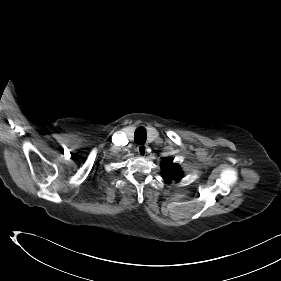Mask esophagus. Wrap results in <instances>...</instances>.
Listing matches in <instances>:
<instances>
[{"label": "esophagus", "mask_w": 281, "mask_h": 281, "mask_svg": "<svg viewBox=\"0 0 281 281\" xmlns=\"http://www.w3.org/2000/svg\"><path fill=\"white\" fill-rule=\"evenodd\" d=\"M146 151H147V146L146 145H139L138 147H137V152H138V154L140 155V156H144V155H146Z\"/></svg>", "instance_id": "1"}]
</instances>
